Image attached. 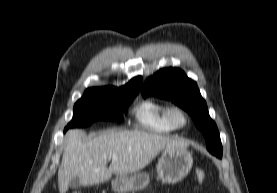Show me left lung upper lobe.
I'll return each mask as SVG.
<instances>
[{"label":"left lung upper lobe","mask_w":277,"mask_h":193,"mask_svg":"<svg viewBox=\"0 0 277 193\" xmlns=\"http://www.w3.org/2000/svg\"><path fill=\"white\" fill-rule=\"evenodd\" d=\"M143 97L156 96L172 100L186 110L202 131L207 149L210 153L222 157V144L215 122L210 118L205 100L202 98L197 84L177 68L161 69L145 81Z\"/></svg>","instance_id":"left-lung-upper-lobe-1"}]
</instances>
